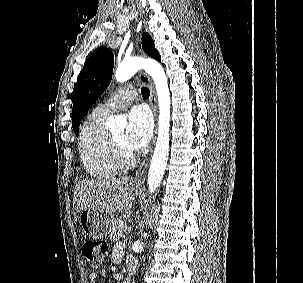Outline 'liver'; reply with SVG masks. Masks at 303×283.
I'll use <instances>...</instances> for the list:
<instances>
[{
	"mask_svg": "<svg viewBox=\"0 0 303 283\" xmlns=\"http://www.w3.org/2000/svg\"><path fill=\"white\" fill-rule=\"evenodd\" d=\"M134 180L131 177L112 179H83L74 190L75 220L84 209L107 213H126L132 207Z\"/></svg>",
	"mask_w": 303,
	"mask_h": 283,
	"instance_id": "obj_1",
	"label": "liver"
}]
</instances>
